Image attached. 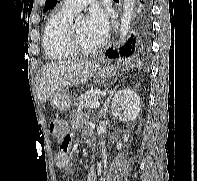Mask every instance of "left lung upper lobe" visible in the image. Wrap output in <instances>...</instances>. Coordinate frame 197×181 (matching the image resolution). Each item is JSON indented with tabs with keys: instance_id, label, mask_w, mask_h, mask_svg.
Segmentation results:
<instances>
[{
	"instance_id": "obj_1",
	"label": "left lung upper lobe",
	"mask_w": 197,
	"mask_h": 181,
	"mask_svg": "<svg viewBox=\"0 0 197 181\" xmlns=\"http://www.w3.org/2000/svg\"><path fill=\"white\" fill-rule=\"evenodd\" d=\"M58 2H59V0H46V3H45L43 11L46 12L49 9H53Z\"/></svg>"
}]
</instances>
